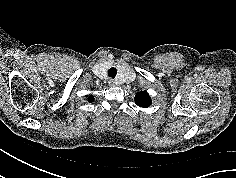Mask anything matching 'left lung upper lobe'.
I'll use <instances>...</instances> for the list:
<instances>
[{"label": "left lung upper lobe", "instance_id": "1", "mask_svg": "<svg viewBox=\"0 0 236 178\" xmlns=\"http://www.w3.org/2000/svg\"><path fill=\"white\" fill-rule=\"evenodd\" d=\"M135 102L138 106L147 108L151 105V98L149 97L147 91L138 92L135 95Z\"/></svg>", "mask_w": 236, "mask_h": 178}]
</instances>
